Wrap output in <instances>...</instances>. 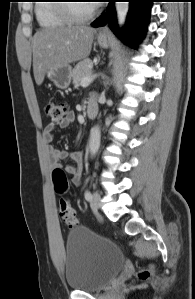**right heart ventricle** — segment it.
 Returning a JSON list of instances; mask_svg holds the SVG:
<instances>
[{"label": "right heart ventricle", "mask_w": 195, "mask_h": 299, "mask_svg": "<svg viewBox=\"0 0 195 299\" xmlns=\"http://www.w3.org/2000/svg\"><path fill=\"white\" fill-rule=\"evenodd\" d=\"M58 0H40L35 6V16L43 28H56L68 25L70 21L59 10Z\"/></svg>", "instance_id": "e07e8e85"}]
</instances>
